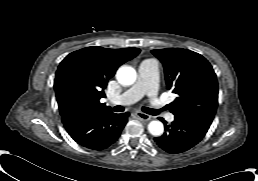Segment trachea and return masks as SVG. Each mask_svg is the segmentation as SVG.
Returning <instances> with one entry per match:
<instances>
[{
	"instance_id": "trachea-1",
	"label": "trachea",
	"mask_w": 258,
	"mask_h": 181,
	"mask_svg": "<svg viewBox=\"0 0 258 181\" xmlns=\"http://www.w3.org/2000/svg\"><path fill=\"white\" fill-rule=\"evenodd\" d=\"M142 110L145 113L150 114V115H158L160 113V110L151 109V108H147V107L142 108ZM114 111L115 112H123L124 111V107L120 106V105H117V106L114 107Z\"/></svg>"
}]
</instances>
